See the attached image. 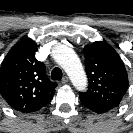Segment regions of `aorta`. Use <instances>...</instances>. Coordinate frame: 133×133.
I'll return each mask as SVG.
<instances>
[{"mask_svg": "<svg viewBox=\"0 0 133 133\" xmlns=\"http://www.w3.org/2000/svg\"><path fill=\"white\" fill-rule=\"evenodd\" d=\"M54 60L65 70L74 87L83 91L87 87V77L77 54L64 44H57L52 51Z\"/></svg>", "mask_w": 133, "mask_h": 133, "instance_id": "aorta-1", "label": "aorta"}]
</instances>
